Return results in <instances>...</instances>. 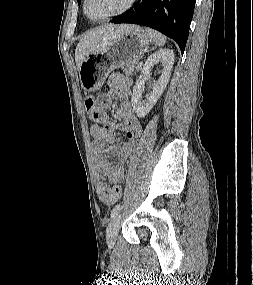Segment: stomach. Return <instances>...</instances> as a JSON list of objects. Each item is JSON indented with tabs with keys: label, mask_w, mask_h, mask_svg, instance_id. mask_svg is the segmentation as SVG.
Listing matches in <instances>:
<instances>
[{
	"label": "stomach",
	"mask_w": 253,
	"mask_h": 285,
	"mask_svg": "<svg viewBox=\"0 0 253 285\" xmlns=\"http://www.w3.org/2000/svg\"><path fill=\"white\" fill-rule=\"evenodd\" d=\"M151 41V37L141 27L134 26L89 54L79 68L81 87L86 92L99 90L111 71L138 62Z\"/></svg>",
	"instance_id": "1"
}]
</instances>
